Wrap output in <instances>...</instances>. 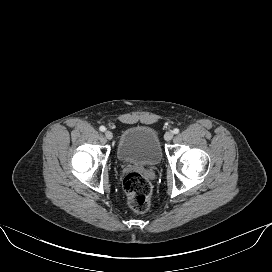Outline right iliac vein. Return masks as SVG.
<instances>
[{
  "label": "right iliac vein",
  "mask_w": 272,
  "mask_h": 272,
  "mask_svg": "<svg viewBox=\"0 0 272 272\" xmlns=\"http://www.w3.org/2000/svg\"><path fill=\"white\" fill-rule=\"evenodd\" d=\"M105 137L108 139V140H111L113 138V133L109 130L105 131Z\"/></svg>",
  "instance_id": "right-iliac-vein-1"
}]
</instances>
